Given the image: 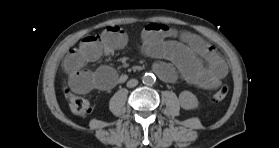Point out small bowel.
Returning a JSON list of instances; mask_svg holds the SVG:
<instances>
[{
    "instance_id": "1",
    "label": "small bowel",
    "mask_w": 279,
    "mask_h": 148,
    "mask_svg": "<svg viewBox=\"0 0 279 148\" xmlns=\"http://www.w3.org/2000/svg\"><path fill=\"white\" fill-rule=\"evenodd\" d=\"M127 42L126 32L115 25L107 27L99 35L84 37L63 59L70 88L78 93L114 88L121 80L114 68L105 65L92 72L86 69V65L97 61L103 54L124 48ZM141 50L157 59L153 69L166 82H173L176 73L163 60L173 63L189 84L204 89L218 87L228 72L224 59L200 36L165 25L151 23L144 27Z\"/></svg>"
}]
</instances>
